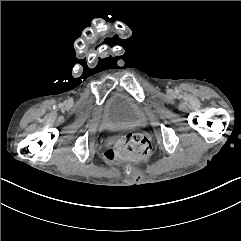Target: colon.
I'll list each match as a JSON object with an SVG mask.
<instances>
[{"instance_id": "obj_1", "label": "colon", "mask_w": 241, "mask_h": 241, "mask_svg": "<svg viewBox=\"0 0 241 241\" xmlns=\"http://www.w3.org/2000/svg\"><path fill=\"white\" fill-rule=\"evenodd\" d=\"M152 145L146 136L129 133L118 139L115 145L102 154L104 162L120 164L129 161H140L150 155Z\"/></svg>"}]
</instances>
